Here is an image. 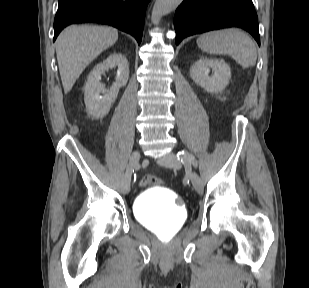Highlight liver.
<instances>
[{
  "mask_svg": "<svg viewBox=\"0 0 309 288\" xmlns=\"http://www.w3.org/2000/svg\"><path fill=\"white\" fill-rule=\"evenodd\" d=\"M118 39L112 27L71 25L56 40V55L65 94L75 84L84 69Z\"/></svg>",
  "mask_w": 309,
  "mask_h": 288,
  "instance_id": "obj_1",
  "label": "liver"
}]
</instances>
